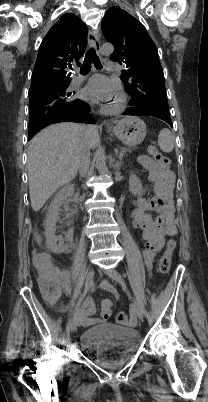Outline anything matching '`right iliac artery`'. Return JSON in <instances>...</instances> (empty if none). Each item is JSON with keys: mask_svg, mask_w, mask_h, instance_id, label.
<instances>
[{"mask_svg": "<svg viewBox=\"0 0 208 402\" xmlns=\"http://www.w3.org/2000/svg\"><path fill=\"white\" fill-rule=\"evenodd\" d=\"M88 292H89V288H88V287H85L83 293L81 294V296H80V298H79V300H78V302H77V305H76V308H75L74 316H76V314H77V312H78V310H79V308H80V305L82 304V302H83L85 296L88 294Z\"/></svg>", "mask_w": 208, "mask_h": 402, "instance_id": "obj_1", "label": "right iliac artery"}]
</instances>
